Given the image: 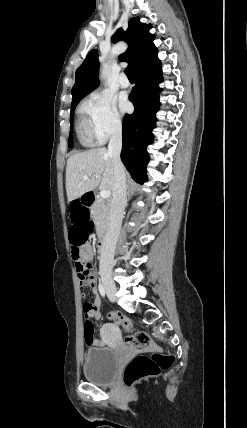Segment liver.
<instances>
[{
    "instance_id": "6515ba94",
    "label": "liver",
    "mask_w": 247,
    "mask_h": 428,
    "mask_svg": "<svg viewBox=\"0 0 247 428\" xmlns=\"http://www.w3.org/2000/svg\"><path fill=\"white\" fill-rule=\"evenodd\" d=\"M84 176L89 179L85 180ZM96 187L113 191V161L107 149L94 148L71 155L66 166L68 201L78 199Z\"/></svg>"
}]
</instances>
